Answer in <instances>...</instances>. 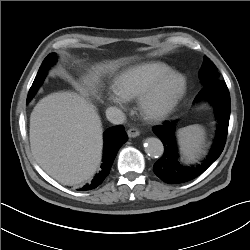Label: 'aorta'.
<instances>
[{"mask_svg": "<svg viewBox=\"0 0 250 250\" xmlns=\"http://www.w3.org/2000/svg\"><path fill=\"white\" fill-rule=\"evenodd\" d=\"M145 152L152 158H159L164 153V146L160 139L150 137L145 140Z\"/></svg>", "mask_w": 250, "mask_h": 250, "instance_id": "obj_1", "label": "aorta"}]
</instances>
